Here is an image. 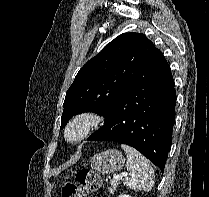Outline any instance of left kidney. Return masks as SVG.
Wrapping results in <instances>:
<instances>
[{"label":"left kidney","mask_w":209,"mask_h":197,"mask_svg":"<svg viewBox=\"0 0 209 197\" xmlns=\"http://www.w3.org/2000/svg\"><path fill=\"white\" fill-rule=\"evenodd\" d=\"M118 197H132V196L126 195V194H122V195H119Z\"/></svg>","instance_id":"left-kidney-1"}]
</instances>
